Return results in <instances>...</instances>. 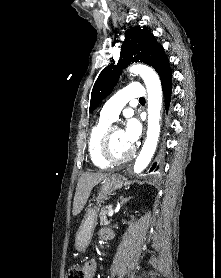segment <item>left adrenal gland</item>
<instances>
[{
    "mask_svg": "<svg viewBox=\"0 0 221 278\" xmlns=\"http://www.w3.org/2000/svg\"><path fill=\"white\" fill-rule=\"evenodd\" d=\"M131 199V197L128 198H124L123 196L120 197V205L122 206L124 203H126L127 201H129Z\"/></svg>",
    "mask_w": 221,
    "mask_h": 278,
    "instance_id": "obj_1",
    "label": "left adrenal gland"
}]
</instances>
